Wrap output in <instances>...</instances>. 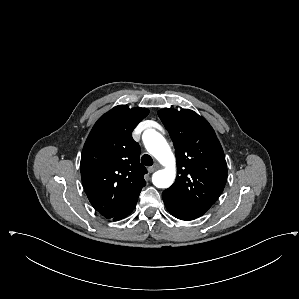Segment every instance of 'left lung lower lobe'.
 <instances>
[{"label":"left lung lower lobe","mask_w":299,"mask_h":299,"mask_svg":"<svg viewBox=\"0 0 299 299\" xmlns=\"http://www.w3.org/2000/svg\"><path fill=\"white\" fill-rule=\"evenodd\" d=\"M162 197L167 210L178 219L189 221L204 214V212L187 205L167 191L162 193Z\"/></svg>","instance_id":"left-lung-lower-lobe-1"}]
</instances>
